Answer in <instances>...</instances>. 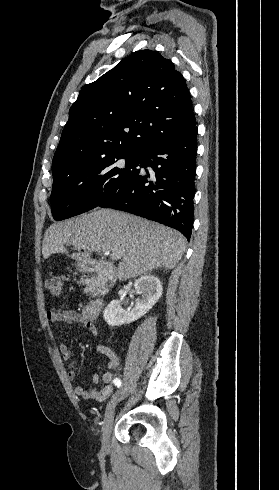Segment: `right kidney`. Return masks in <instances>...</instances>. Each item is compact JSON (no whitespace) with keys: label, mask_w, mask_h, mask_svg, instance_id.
Returning a JSON list of instances; mask_svg holds the SVG:
<instances>
[{"label":"right kidney","mask_w":279,"mask_h":490,"mask_svg":"<svg viewBox=\"0 0 279 490\" xmlns=\"http://www.w3.org/2000/svg\"><path fill=\"white\" fill-rule=\"evenodd\" d=\"M134 290L136 294H140V298H137L131 312L123 310L119 300H112L105 308L103 318L108 326H123V324H131V322L139 320L155 306L163 292L159 278L153 274H145V276L138 278L134 282Z\"/></svg>","instance_id":"right-kidney-1"}]
</instances>
